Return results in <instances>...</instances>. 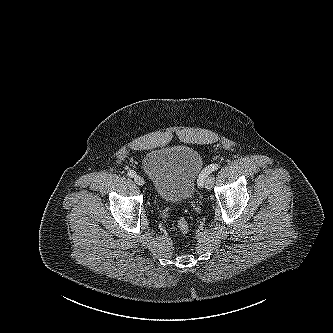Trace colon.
<instances>
[{
  "label": "colon",
  "instance_id": "1",
  "mask_svg": "<svg viewBox=\"0 0 333 333\" xmlns=\"http://www.w3.org/2000/svg\"><path fill=\"white\" fill-rule=\"evenodd\" d=\"M177 227L182 233H187L190 229L189 223L184 217L178 219Z\"/></svg>",
  "mask_w": 333,
  "mask_h": 333
}]
</instances>
